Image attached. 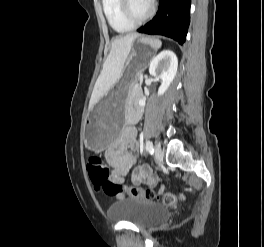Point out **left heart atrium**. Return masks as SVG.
Masks as SVG:
<instances>
[{"mask_svg":"<svg viewBox=\"0 0 264 247\" xmlns=\"http://www.w3.org/2000/svg\"><path fill=\"white\" fill-rule=\"evenodd\" d=\"M148 2H151L152 0H147Z\"/></svg>","mask_w":264,"mask_h":247,"instance_id":"1","label":"left heart atrium"}]
</instances>
